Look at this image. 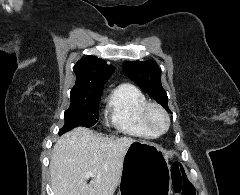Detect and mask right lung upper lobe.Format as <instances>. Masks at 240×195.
I'll list each match as a JSON object with an SVG mask.
<instances>
[{"instance_id":"right-lung-upper-lobe-1","label":"right lung upper lobe","mask_w":240,"mask_h":195,"mask_svg":"<svg viewBox=\"0 0 240 195\" xmlns=\"http://www.w3.org/2000/svg\"><path fill=\"white\" fill-rule=\"evenodd\" d=\"M113 66L103 59L87 56L79 60L74 66L76 83L71 90L70 99L100 97L104 83L113 73Z\"/></svg>"}]
</instances>
